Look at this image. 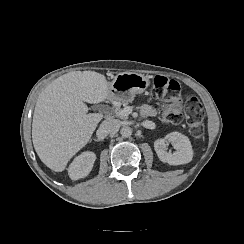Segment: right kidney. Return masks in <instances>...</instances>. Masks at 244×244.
<instances>
[{
  "instance_id": "1",
  "label": "right kidney",
  "mask_w": 244,
  "mask_h": 244,
  "mask_svg": "<svg viewBox=\"0 0 244 244\" xmlns=\"http://www.w3.org/2000/svg\"><path fill=\"white\" fill-rule=\"evenodd\" d=\"M96 155L85 152L74 160L69 168V175L73 180L86 177L92 170Z\"/></svg>"
}]
</instances>
